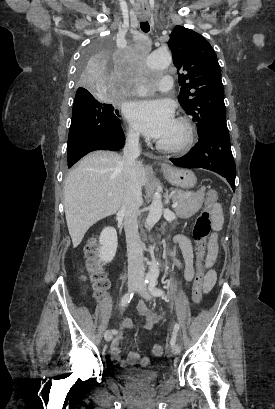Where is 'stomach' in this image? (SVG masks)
Returning a JSON list of instances; mask_svg holds the SVG:
<instances>
[{
    "label": "stomach",
    "instance_id": "obj_1",
    "mask_svg": "<svg viewBox=\"0 0 275 409\" xmlns=\"http://www.w3.org/2000/svg\"><path fill=\"white\" fill-rule=\"evenodd\" d=\"M162 170L169 182L174 186H180V188H192L196 184V176L192 170L187 168H175V166H169L165 164L162 166Z\"/></svg>",
    "mask_w": 275,
    "mask_h": 409
}]
</instances>
